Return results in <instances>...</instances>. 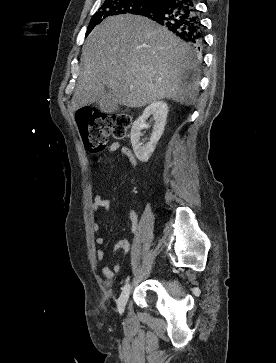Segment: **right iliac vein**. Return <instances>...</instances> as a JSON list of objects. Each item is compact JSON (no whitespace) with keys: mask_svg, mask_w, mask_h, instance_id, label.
I'll return each instance as SVG.
<instances>
[{"mask_svg":"<svg viewBox=\"0 0 276 363\" xmlns=\"http://www.w3.org/2000/svg\"><path fill=\"white\" fill-rule=\"evenodd\" d=\"M130 292H131V285L130 284H126L120 294V297L118 299V311L120 313H123L124 312V309H125V306L127 304V301H128V298H129V295H130Z\"/></svg>","mask_w":276,"mask_h":363,"instance_id":"63e3f726","label":"right iliac vein"}]
</instances>
